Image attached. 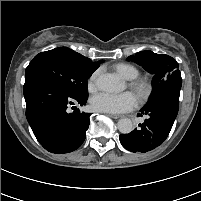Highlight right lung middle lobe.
<instances>
[{"label": "right lung middle lobe", "instance_id": "obj_1", "mask_svg": "<svg viewBox=\"0 0 201 201\" xmlns=\"http://www.w3.org/2000/svg\"><path fill=\"white\" fill-rule=\"evenodd\" d=\"M92 72L76 66L68 57L65 47L36 55L26 68L25 79L33 76L47 78L59 84L73 98H88L87 79Z\"/></svg>", "mask_w": 201, "mask_h": 201}]
</instances>
